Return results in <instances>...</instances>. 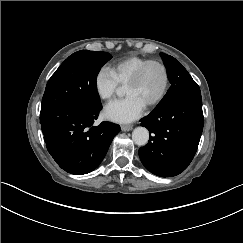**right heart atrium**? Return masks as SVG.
Segmentation results:
<instances>
[{"instance_id": "right-heart-atrium-1", "label": "right heart atrium", "mask_w": 243, "mask_h": 243, "mask_svg": "<svg viewBox=\"0 0 243 243\" xmlns=\"http://www.w3.org/2000/svg\"><path fill=\"white\" fill-rule=\"evenodd\" d=\"M118 82L110 66H100L93 79V86L100 100H108L114 97L118 90Z\"/></svg>"}]
</instances>
